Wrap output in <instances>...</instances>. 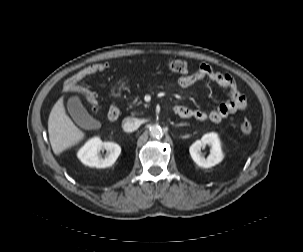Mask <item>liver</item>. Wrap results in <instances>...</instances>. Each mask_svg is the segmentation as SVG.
I'll list each match as a JSON object with an SVG mask.
<instances>
[{"instance_id": "liver-1", "label": "liver", "mask_w": 303, "mask_h": 252, "mask_svg": "<svg viewBox=\"0 0 303 252\" xmlns=\"http://www.w3.org/2000/svg\"><path fill=\"white\" fill-rule=\"evenodd\" d=\"M48 132L52 150L56 155L77 145L85 138V133L66 114L63 98H60L52 108L48 120Z\"/></svg>"}]
</instances>
